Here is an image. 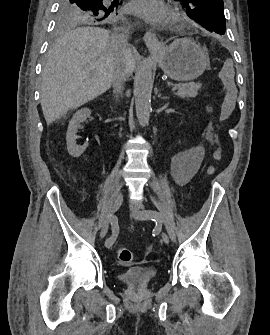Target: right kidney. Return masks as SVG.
I'll return each instance as SVG.
<instances>
[{"label": "right kidney", "instance_id": "obj_1", "mask_svg": "<svg viewBox=\"0 0 270 335\" xmlns=\"http://www.w3.org/2000/svg\"><path fill=\"white\" fill-rule=\"evenodd\" d=\"M90 114L91 110H88V108H82V110H78V112L74 114L73 118H71V122H69L66 134V142L67 150L70 156H73V158H79V156L85 152L88 146V144H84V146H77L76 134L78 132V128H80L81 122H85V120L89 118Z\"/></svg>", "mask_w": 270, "mask_h": 335}]
</instances>
